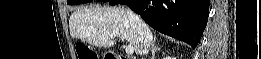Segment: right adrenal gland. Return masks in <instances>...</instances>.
<instances>
[{
	"label": "right adrenal gland",
	"instance_id": "2a0ac1e0",
	"mask_svg": "<svg viewBox=\"0 0 261 59\" xmlns=\"http://www.w3.org/2000/svg\"><path fill=\"white\" fill-rule=\"evenodd\" d=\"M160 48L156 45V37L152 41V59L155 58V53L158 52Z\"/></svg>",
	"mask_w": 261,
	"mask_h": 59
}]
</instances>
